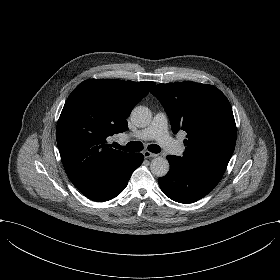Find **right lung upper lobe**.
Returning <instances> with one entry per match:
<instances>
[{
	"label": "right lung upper lobe",
	"mask_w": 280,
	"mask_h": 280,
	"mask_svg": "<svg viewBox=\"0 0 280 280\" xmlns=\"http://www.w3.org/2000/svg\"><path fill=\"white\" fill-rule=\"evenodd\" d=\"M154 82L90 79L69 95L57 123L56 139L68 178L94 198L135 154L109 147L106 138L128 129L126 119Z\"/></svg>",
	"instance_id": "obj_1"
}]
</instances>
